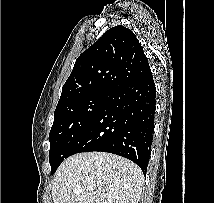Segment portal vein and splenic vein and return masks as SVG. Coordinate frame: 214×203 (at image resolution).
<instances>
[{
    "instance_id": "1",
    "label": "portal vein and splenic vein",
    "mask_w": 214,
    "mask_h": 203,
    "mask_svg": "<svg viewBox=\"0 0 214 203\" xmlns=\"http://www.w3.org/2000/svg\"><path fill=\"white\" fill-rule=\"evenodd\" d=\"M74 193H79V191H76V190H75Z\"/></svg>"
}]
</instances>
